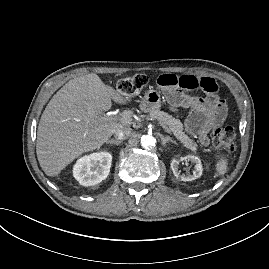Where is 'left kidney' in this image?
<instances>
[{
    "mask_svg": "<svg viewBox=\"0 0 269 269\" xmlns=\"http://www.w3.org/2000/svg\"><path fill=\"white\" fill-rule=\"evenodd\" d=\"M183 161H186V162L190 161L192 164H194V170L192 174H189L187 176L180 174L179 164ZM171 169L177 179H180L181 181H185V182L192 181L199 178L202 175V171H203L201 160L197 156H194V155H187L186 157L174 158L171 162Z\"/></svg>",
    "mask_w": 269,
    "mask_h": 269,
    "instance_id": "5707ae66",
    "label": "left kidney"
}]
</instances>
